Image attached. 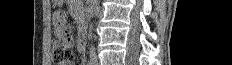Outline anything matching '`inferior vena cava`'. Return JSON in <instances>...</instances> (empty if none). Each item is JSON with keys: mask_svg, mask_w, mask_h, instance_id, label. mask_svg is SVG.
Instances as JSON below:
<instances>
[{"mask_svg": "<svg viewBox=\"0 0 232 65\" xmlns=\"http://www.w3.org/2000/svg\"><path fill=\"white\" fill-rule=\"evenodd\" d=\"M90 59L92 61H95L97 59V55H96L94 46L90 47Z\"/></svg>", "mask_w": 232, "mask_h": 65, "instance_id": "1", "label": "inferior vena cava"}]
</instances>
